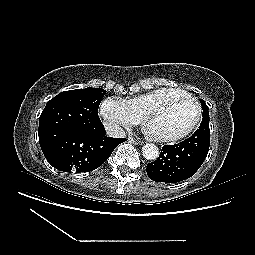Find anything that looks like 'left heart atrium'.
I'll return each instance as SVG.
<instances>
[{
    "label": "left heart atrium",
    "mask_w": 255,
    "mask_h": 255,
    "mask_svg": "<svg viewBox=\"0 0 255 255\" xmlns=\"http://www.w3.org/2000/svg\"><path fill=\"white\" fill-rule=\"evenodd\" d=\"M145 132L149 135H152V132L150 130H148L147 128H145Z\"/></svg>",
    "instance_id": "obj_1"
}]
</instances>
